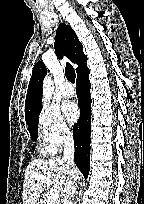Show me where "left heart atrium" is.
<instances>
[{
	"label": "left heart atrium",
	"mask_w": 144,
	"mask_h": 204,
	"mask_svg": "<svg viewBox=\"0 0 144 204\" xmlns=\"http://www.w3.org/2000/svg\"><path fill=\"white\" fill-rule=\"evenodd\" d=\"M63 110L66 118L70 123H74L78 120L80 116V110L76 103L74 102L65 103Z\"/></svg>",
	"instance_id": "left-heart-atrium-1"
}]
</instances>
